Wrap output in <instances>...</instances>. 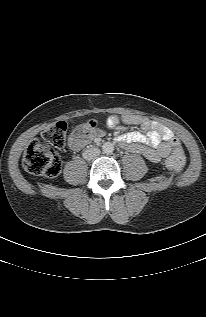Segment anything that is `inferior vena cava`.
I'll return each mask as SVG.
<instances>
[{
    "instance_id": "602c4592",
    "label": "inferior vena cava",
    "mask_w": 206,
    "mask_h": 317,
    "mask_svg": "<svg viewBox=\"0 0 206 317\" xmlns=\"http://www.w3.org/2000/svg\"><path fill=\"white\" fill-rule=\"evenodd\" d=\"M100 149L99 148H95V147H91V148H88L86 149L84 152H83V158L86 159V160H92V159H95L99 156L100 154Z\"/></svg>"
}]
</instances>
